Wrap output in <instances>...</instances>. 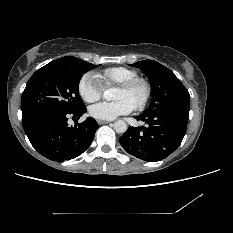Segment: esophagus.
Wrapping results in <instances>:
<instances>
[{
  "mask_svg": "<svg viewBox=\"0 0 233 233\" xmlns=\"http://www.w3.org/2000/svg\"><path fill=\"white\" fill-rule=\"evenodd\" d=\"M97 123H98L99 125H103V124H108V123H110V121L98 120Z\"/></svg>",
  "mask_w": 233,
  "mask_h": 233,
  "instance_id": "esophagus-1",
  "label": "esophagus"
}]
</instances>
